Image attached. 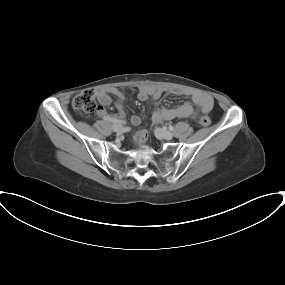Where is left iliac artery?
I'll use <instances>...</instances> for the list:
<instances>
[{"label":"left iliac artery","mask_w":285,"mask_h":285,"mask_svg":"<svg viewBox=\"0 0 285 285\" xmlns=\"http://www.w3.org/2000/svg\"><path fill=\"white\" fill-rule=\"evenodd\" d=\"M168 128H169L170 131H173V130H174V127H173L172 125H169Z\"/></svg>","instance_id":"obj_1"}]
</instances>
